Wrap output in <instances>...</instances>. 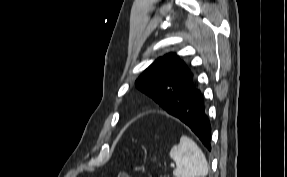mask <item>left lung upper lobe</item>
<instances>
[{
    "mask_svg": "<svg viewBox=\"0 0 287 177\" xmlns=\"http://www.w3.org/2000/svg\"><path fill=\"white\" fill-rule=\"evenodd\" d=\"M195 85L193 74L175 53L155 60L136 80V87L169 112V99Z\"/></svg>",
    "mask_w": 287,
    "mask_h": 177,
    "instance_id": "5c2ea615",
    "label": "left lung upper lobe"
}]
</instances>
